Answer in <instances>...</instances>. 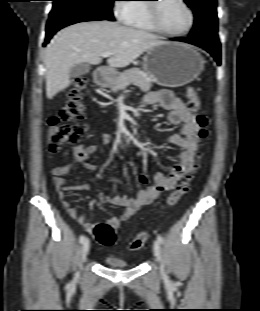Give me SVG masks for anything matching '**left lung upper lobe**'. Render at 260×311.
<instances>
[{"label":"left lung upper lobe","instance_id":"1","mask_svg":"<svg viewBox=\"0 0 260 311\" xmlns=\"http://www.w3.org/2000/svg\"><path fill=\"white\" fill-rule=\"evenodd\" d=\"M195 16L190 38L219 42L216 0H184Z\"/></svg>","mask_w":260,"mask_h":311}]
</instances>
